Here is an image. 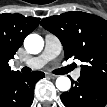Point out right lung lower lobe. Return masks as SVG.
I'll return each mask as SVG.
<instances>
[{
  "mask_svg": "<svg viewBox=\"0 0 107 107\" xmlns=\"http://www.w3.org/2000/svg\"><path fill=\"white\" fill-rule=\"evenodd\" d=\"M44 76L40 71L29 74L15 71L0 76V107H30L34 97V85Z\"/></svg>",
  "mask_w": 107,
  "mask_h": 107,
  "instance_id": "98d812e1",
  "label": "right lung lower lobe"
}]
</instances>
